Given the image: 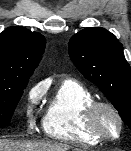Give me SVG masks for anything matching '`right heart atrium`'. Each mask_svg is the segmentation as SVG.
<instances>
[{
    "mask_svg": "<svg viewBox=\"0 0 131 151\" xmlns=\"http://www.w3.org/2000/svg\"><path fill=\"white\" fill-rule=\"evenodd\" d=\"M43 93V87L41 85L33 86L28 92V104H27V113L30 115L36 105L39 103Z\"/></svg>",
    "mask_w": 131,
    "mask_h": 151,
    "instance_id": "right-heart-atrium-1",
    "label": "right heart atrium"
}]
</instances>
